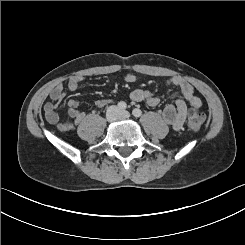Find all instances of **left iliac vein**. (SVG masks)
Wrapping results in <instances>:
<instances>
[{
    "mask_svg": "<svg viewBox=\"0 0 245 245\" xmlns=\"http://www.w3.org/2000/svg\"><path fill=\"white\" fill-rule=\"evenodd\" d=\"M130 117V113L128 111H122L119 114V119H128Z\"/></svg>",
    "mask_w": 245,
    "mask_h": 245,
    "instance_id": "1",
    "label": "left iliac vein"
}]
</instances>
